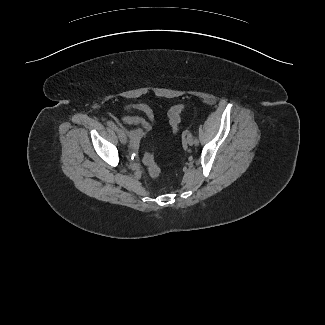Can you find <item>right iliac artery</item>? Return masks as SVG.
<instances>
[{
  "instance_id": "1",
  "label": "right iliac artery",
  "mask_w": 325,
  "mask_h": 325,
  "mask_svg": "<svg viewBox=\"0 0 325 325\" xmlns=\"http://www.w3.org/2000/svg\"><path fill=\"white\" fill-rule=\"evenodd\" d=\"M107 125L112 128L113 130L117 131L118 127L112 121H107Z\"/></svg>"
}]
</instances>
